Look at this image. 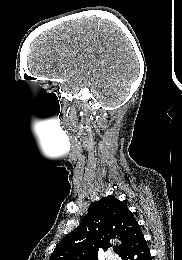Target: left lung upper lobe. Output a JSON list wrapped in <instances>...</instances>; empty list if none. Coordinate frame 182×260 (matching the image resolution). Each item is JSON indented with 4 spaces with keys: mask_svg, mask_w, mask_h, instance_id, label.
<instances>
[{
    "mask_svg": "<svg viewBox=\"0 0 182 260\" xmlns=\"http://www.w3.org/2000/svg\"><path fill=\"white\" fill-rule=\"evenodd\" d=\"M139 226L133 213L114 196L94 202L82 223L56 246L49 260H98V251L110 247L108 240L116 236L122 246H115L119 256L133 230Z\"/></svg>",
    "mask_w": 182,
    "mask_h": 260,
    "instance_id": "left-lung-upper-lobe-1",
    "label": "left lung upper lobe"
}]
</instances>
